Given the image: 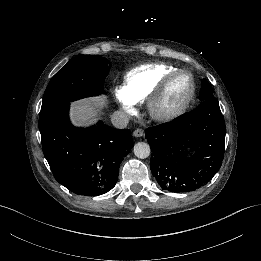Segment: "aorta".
<instances>
[{
    "label": "aorta",
    "instance_id": "aorta-1",
    "mask_svg": "<svg viewBox=\"0 0 261 261\" xmlns=\"http://www.w3.org/2000/svg\"><path fill=\"white\" fill-rule=\"evenodd\" d=\"M133 152L137 158L145 159L150 155V146L145 142H138L134 145Z\"/></svg>",
    "mask_w": 261,
    "mask_h": 261
}]
</instances>
